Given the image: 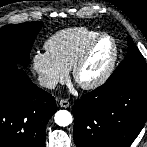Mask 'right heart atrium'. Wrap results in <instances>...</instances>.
Segmentation results:
<instances>
[{
    "mask_svg": "<svg viewBox=\"0 0 147 147\" xmlns=\"http://www.w3.org/2000/svg\"><path fill=\"white\" fill-rule=\"evenodd\" d=\"M32 68L39 83L47 88L54 89L64 83L69 76V70L57 62L47 51L36 52L32 57Z\"/></svg>",
    "mask_w": 147,
    "mask_h": 147,
    "instance_id": "obj_1",
    "label": "right heart atrium"
}]
</instances>
